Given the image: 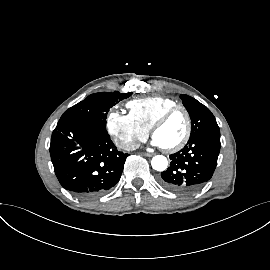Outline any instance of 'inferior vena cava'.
Wrapping results in <instances>:
<instances>
[{
  "mask_svg": "<svg viewBox=\"0 0 270 270\" xmlns=\"http://www.w3.org/2000/svg\"><path fill=\"white\" fill-rule=\"evenodd\" d=\"M118 147L125 151H133L138 148V145L135 143H117Z\"/></svg>",
  "mask_w": 270,
  "mask_h": 270,
  "instance_id": "602c4592",
  "label": "inferior vena cava"
}]
</instances>
